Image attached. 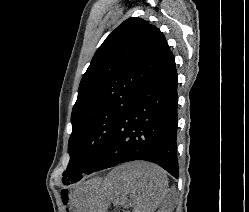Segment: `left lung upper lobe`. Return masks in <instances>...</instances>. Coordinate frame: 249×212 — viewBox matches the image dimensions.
I'll list each match as a JSON object with an SVG mask.
<instances>
[{
  "mask_svg": "<svg viewBox=\"0 0 249 212\" xmlns=\"http://www.w3.org/2000/svg\"><path fill=\"white\" fill-rule=\"evenodd\" d=\"M169 52L160 30L141 18L125 20L98 48L72 110L64 184L82 178L97 163L118 120Z\"/></svg>",
  "mask_w": 249,
  "mask_h": 212,
  "instance_id": "5c2ea615",
  "label": "left lung upper lobe"
}]
</instances>
